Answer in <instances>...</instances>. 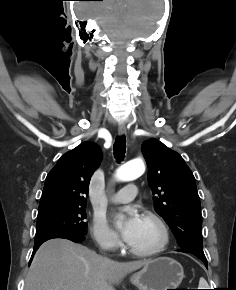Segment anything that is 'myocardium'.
Wrapping results in <instances>:
<instances>
[{"mask_svg":"<svg viewBox=\"0 0 236 290\" xmlns=\"http://www.w3.org/2000/svg\"><path fill=\"white\" fill-rule=\"evenodd\" d=\"M142 218L151 221L158 229L160 238L158 243L149 249H138L128 245V251L138 257H151L162 252L169 243V231L164 220L152 211H145Z\"/></svg>","mask_w":236,"mask_h":290,"instance_id":"myocardium-1","label":"myocardium"}]
</instances>
